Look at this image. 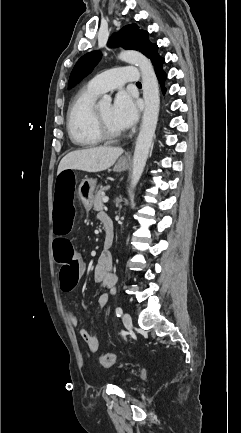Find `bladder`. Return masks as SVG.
<instances>
[{
    "instance_id": "1",
    "label": "bladder",
    "mask_w": 241,
    "mask_h": 433,
    "mask_svg": "<svg viewBox=\"0 0 241 433\" xmlns=\"http://www.w3.org/2000/svg\"><path fill=\"white\" fill-rule=\"evenodd\" d=\"M124 385L128 386L129 385V380H125Z\"/></svg>"
}]
</instances>
